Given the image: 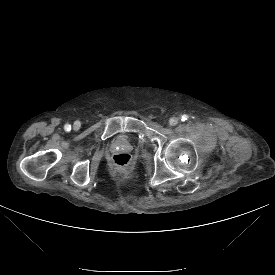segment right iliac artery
Returning <instances> with one entry per match:
<instances>
[{
    "label": "right iliac artery",
    "instance_id": "obj_1",
    "mask_svg": "<svg viewBox=\"0 0 275 275\" xmlns=\"http://www.w3.org/2000/svg\"><path fill=\"white\" fill-rule=\"evenodd\" d=\"M64 129H65V131H70L71 130V125L70 124H66L64 126Z\"/></svg>",
    "mask_w": 275,
    "mask_h": 275
}]
</instances>
